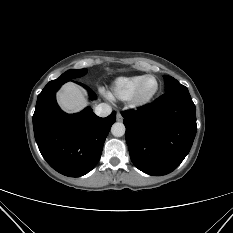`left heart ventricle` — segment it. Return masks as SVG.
<instances>
[{
  "instance_id": "obj_1",
  "label": "left heart ventricle",
  "mask_w": 233,
  "mask_h": 233,
  "mask_svg": "<svg viewBox=\"0 0 233 233\" xmlns=\"http://www.w3.org/2000/svg\"><path fill=\"white\" fill-rule=\"evenodd\" d=\"M155 87H156V82L154 79L151 78L146 80L145 83L143 84L141 95L143 97L150 95L154 91Z\"/></svg>"
}]
</instances>
